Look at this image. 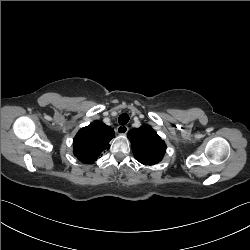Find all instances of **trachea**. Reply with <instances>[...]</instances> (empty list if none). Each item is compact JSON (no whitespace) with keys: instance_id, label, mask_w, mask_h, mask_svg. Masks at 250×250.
<instances>
[{"instance_id":"1","label":"trachea","mask_w":250,"mask_h":250,"mask_svg":"<svg viewBox=\"0 0 250 250\" xmlns=\"http://www.w3.org/2000/svg\"><path fill=\"white\" fill-rule=\"evenodd\" d=\"M129 121V115L126 113H123L119 116L118 122L120 125H126Z\"/></svg>"}]
</instances>
